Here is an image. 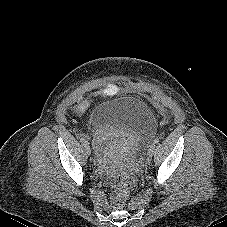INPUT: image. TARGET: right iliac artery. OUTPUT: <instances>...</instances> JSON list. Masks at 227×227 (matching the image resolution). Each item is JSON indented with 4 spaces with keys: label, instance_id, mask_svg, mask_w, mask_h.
I'll use <instances>...</instances> for the list:
<instances>
[{
    "label": "right iliac artery",
    "instance_id": "right-iliac-artery-1",
    "mask_svg": "<svg viewBox=\"0 0 227 227\" xmlns=\"http://www.w3.org/2000/svg\"><path fill=\"white\" fill-rule=\"evenodd\" d=\"M80 141H81L82 143L86 142L84 138H81Z\"/></svg>",
    "mask_w": 227,
    "mask_h": 227
}]
</instances>
